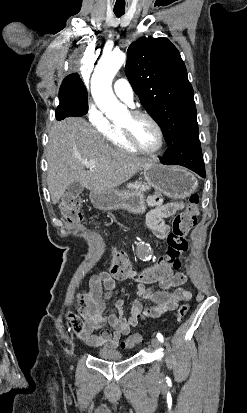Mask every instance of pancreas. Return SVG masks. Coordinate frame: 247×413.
I'll list each match as a JSON object with an SVG mask.
<instances>
[{"instance_id":"obj_1","label":"pancreas","mask_w":247,"mask_h":413,"mask_svg":"<svg viewBox=\"0 0 247 413\" xmlns=\"http://www.w3.org/2000/svg\"><path fill=\"white\" fill-rule=\"evenodd\" d=\"M127 188H136V190H149L150 186L149 184H146V182H129L127 184Z\"/></svg>"}]
</instances>
